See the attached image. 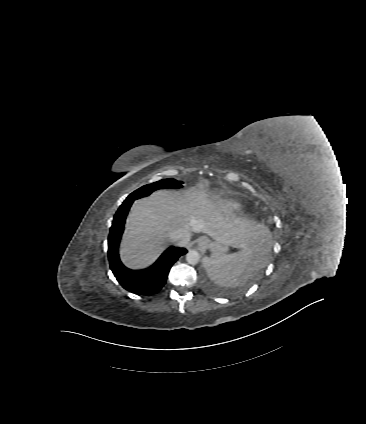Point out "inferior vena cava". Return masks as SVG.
Instances as JSON below:
<instances>
[{"instance_id": "1", "label": "inferior vena cava", "mask_w": 366, "mask_h": 424, "mask_svg": "<svg viewBox=\"0 0 366 424\" xmlns=\"http://www.w3.org/2000/svg\"><path fill=\"white\" fill-rule=\"evenodd\" d=\"M191 233L186 229H179L170 234V239L176 245L187 244L191 239Z\"/></svg>"}]
</instances>
